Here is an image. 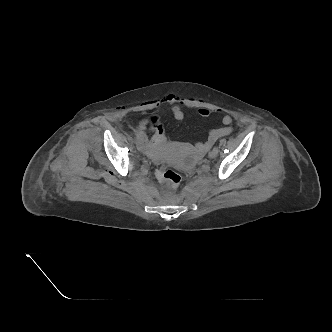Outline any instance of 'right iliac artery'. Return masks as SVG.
Instances as JSON below:
<instances>
[{"instance_id": "82829eb1", "label": "right iliac artery", "mask_w": 332, "mask_h": 332, "mask_svg": "<svg viewBox=\"0 0 332 332\" xmlns=\"http://www.w3.org/2000/svg\"><path fill=\"white\" fill-rule=\"evenodd\" d=\"M135 135H136L137 137H141V138H143V133H142L141 131H139V130H136V131H135Z\"/></svg>"}]
</instances>
